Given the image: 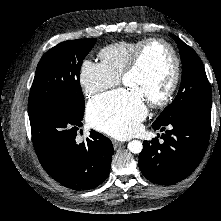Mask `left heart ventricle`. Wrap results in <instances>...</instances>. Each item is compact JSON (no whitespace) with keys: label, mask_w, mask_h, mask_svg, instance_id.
Returning <instances> with one entry per match:
<instances>
[{"label":"left heart ventricle","mask_w":221,"mask_h":221,"mask_svg":"<svg viewBox=\"0 0 221 221\" xmlns=\"http://www.w3.org/2000/svg\"><path fill=\"white\" fill-rule=\"evenodd\" d=\"M171 59L165 47L151 45L143 54L138 69L128 76L124 85L144 102L158 98L166 89L171 73Z\"/></svg>","instance_id":"left-heart-ventricle-1"}]
</instances>
